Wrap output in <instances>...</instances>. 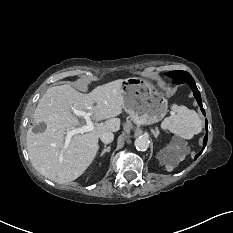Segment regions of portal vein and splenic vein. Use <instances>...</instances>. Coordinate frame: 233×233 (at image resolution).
<instances>
[{
  "label": "portal vein and splenic vein",
  "instance_id": "18ae733b",
  "mask_svg": "<svg viewBox=\"0 0 233 233\" xmlns=\"http://www.w3.org/2000/svg\"><path fill=\"white\" fill-rule=\"evenodd\" d=\"M74 114L80 117H83L86 121V125L79 127V128H75L73 130L67 131L66 132V140H65V146H67L70 141L71 138L76 135V134H83L85 132H90L94 129V124L91 121V114L87 113L85 111H80V110H73Z\"/></svg>",
  "mask_w": 233,
  "mask_h": 233
}]
</instances>
